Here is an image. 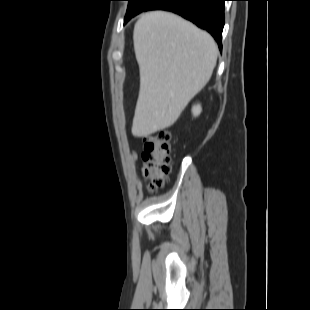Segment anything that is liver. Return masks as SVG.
Here are the masks:
<instances>
[{"instance_id":"obj_1","label":"liver","mask_w":310,"mask_h":310,"mask_svg":"<svg viewBox=\"0 0 310 310\" xmlns=\"http://www.w3.org/2000/svg\"><path fill=\"white\" fill-rule=\"evenodd\" d=\"M133 40L140 90L132 134L146 137L172 126L207 84L218 47L207 32L164 11L143 14Z\"/></svg>"}]
</instances>
